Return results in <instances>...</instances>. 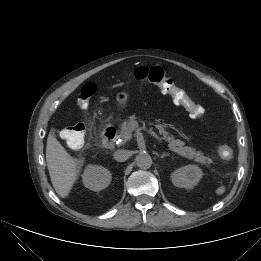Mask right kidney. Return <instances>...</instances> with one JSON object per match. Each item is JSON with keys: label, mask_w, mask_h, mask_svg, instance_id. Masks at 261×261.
I'll list each match as a JSON object with an SVG mask.
<instances>
[{"label": "right kidney", "mask_w": 261, "mask_h": 261, "mask_svg": "<svg viewBox=\"0 0 261 261\" xmlns=\"http://www.w3.org/2000/svg\"><path fill=\"white\" fill-rule=\"evenodd\" d=\"M86 188L93 191L105 189L111 182L112 175L106 168L98 165H88L82 175Z\"/></svg>", "instance_id": "right-kidney-1"}]
</instances>
